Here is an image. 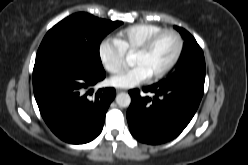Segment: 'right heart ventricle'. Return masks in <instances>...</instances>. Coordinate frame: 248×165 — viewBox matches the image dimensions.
<instances>
[{
  "instance_id": "obj_1",
  "label": "right heart ventricle",
  "mask_w": 248,
  "mask_h": 165,
  "mask_svg": "<svg viewBox=\"0 0 248 165\" xmlns=\"http://www.w3.org/2000/svg\"><path fill=\"white\" fill-rule=\"evenodd\" d=\"M164 28L157 24L139 23L120 30L115 40L125 53L138 49L152 35L162 31Z\"/></svg>"
}]
</instances>
